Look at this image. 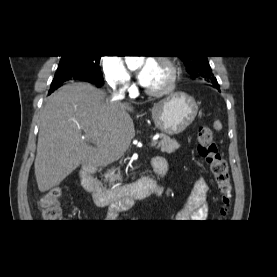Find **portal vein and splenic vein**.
<instances>
[{"label": "portal vein and splenic vein", "instance_id": "1", "mask_svg": "<svg viewBox=\"0 0 277 277\" xmlns=\"http://www.w3.org/2000/svg\"><path fill=\"white\" fill-rule=\"evenodd\" d=\"M158 143V139L157 138H154L150 144V147H154L156 146V144Z\"/></svg>", "mask_w": 277, "mask_h": 277}]
</instances>
